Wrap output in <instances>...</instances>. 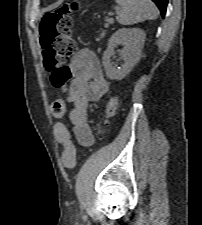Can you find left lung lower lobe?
<instances>
[{"mask_svg":"<svg viewBox=\"0 0 202 225\" xmlns=\"http://www.w3.org/2000/svg\"><path fill=\"white\" fill-rule=\"evenodd\" d=\"M160 9L162 17L165 16L168 0H152Z\"/></svg>","mask_w":202,"mask_h":225,"instance_id":"obj_1","label":"left lung lower lobe"}]
</instances>
